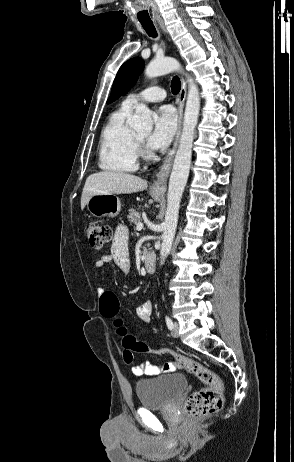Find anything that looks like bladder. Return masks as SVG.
Masks as SVG:
<instances>
[{
  "instance_id": "obj_1",
  "label": "bladder",
  "mask_w": 294,
  "mask_h": 462,
  "mask_svg": "<svg viewBox=\"0 0 294 462\" xmlns=\"http://www.w3.org/2000/svg\"><path fill=\"white\" fill-rule=\"evenodd\" d=\"M186 377L179 373H169L136 382L139 403L147 409L165 408L175 402L187 389Z\"/></svg>"
}]
</instances>
